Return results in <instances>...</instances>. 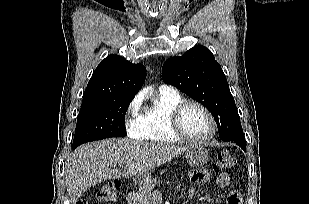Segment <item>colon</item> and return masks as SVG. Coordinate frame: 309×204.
<instances>
[{"label": "colon", "mask_w": 309, "mask_h": 204, "mask_svg": "<svg viewBox=\"0 0 309 204\" xmlns=\"http://www.w3.org/2000/svg\"><path fill=\"white\" fill-rule=\"evenodd\" d=\"M235 164V159L228 151H221L218 153L215 161V169L217 171H224L230 169ZM118 196V185L114 182L105 183L100 192L99 200L102 202H112L116 200ZM230 203L240 204V199L238 197H231L229 199ZM76 204H88L85 200H79Z\"/></svg>", "instance_id": "1"}]
</instances>
